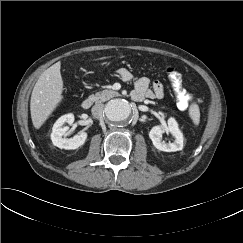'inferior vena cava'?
Masks as SVG:
<instances>
[{"instance_id":"602c4592","label":"inferior vena cava","mask_w":243,"mask_h":243,"mask_svg":"<svg viewBox=\"0 0 243 243\" xmlns=\"http://www.w3.org/2000/svg\"><path fill=\"white\" fill-rule=\"evenodd\" d=\"M92 114L94 117L99 118L102 116L103 111H104V105L103 104H95L92 107Z\"/></svg>"}]
</instances>
